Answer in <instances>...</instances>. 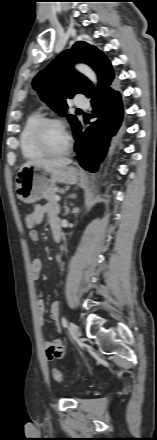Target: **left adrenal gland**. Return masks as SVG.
<instances>
[{
  "label": "left adrenal gland",
  "instance_id": "left-adrenal-gland-1",
  "mask_svg": "<svg viewBox=\"0 0 157 440\" xmlns=\"http://www.w3.org/2000/svg\"><path fill=\"white\" fill-rule=\"evenodd\" d=\"M72 197L74 198L75 196H72ZM64 209H65L64 216H66L70 212V209H69V207L66 204L64 205Z\"/></svg>",
  "mask_w": 157,
  "mask_h": 440
}]
</instances>
